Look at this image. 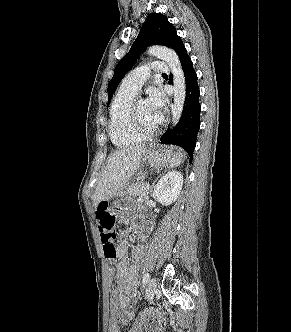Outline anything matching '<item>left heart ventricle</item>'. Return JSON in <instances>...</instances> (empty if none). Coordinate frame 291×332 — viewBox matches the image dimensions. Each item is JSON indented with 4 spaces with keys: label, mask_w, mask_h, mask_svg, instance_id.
<instances>
[{
    "label": "left heart ventricle",
    "mask_w": 291,
    "mask_h": 332,
    "mask_svg": "<svg viewBox=\"0 0 291 332\" xmlns=\"http://www.w3.org/2000/svg\"><path fill=\"white\" fill-rule=\"evenodd\" d=\"M137 106L141 125L146 129L155 128L159 122L156 120L155 115L149 107L147 101L139 99Z\"/></svg>",
    "instance_id": "b2bd125f"
}]
</instances>
